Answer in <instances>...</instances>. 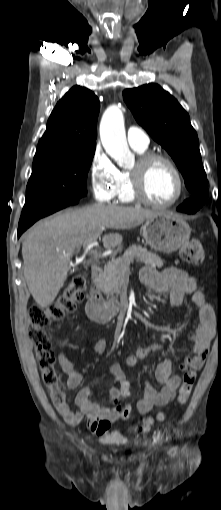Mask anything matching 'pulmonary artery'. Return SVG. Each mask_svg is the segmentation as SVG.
I'll use <instances>...</instances> for the list:
<instances>
[{"label":"pulmonary artery","mask_w":221,"mask_h":510,"mask_svg":"<svg viewBox=\"0 0 221 510\" xmlns=\"http://www.w3.org/2000/svg\"><path fill=\"white\" fill-rule=\"evenodd\" d=\"M127 140L131 147L145 149L149 145V136L141 128L131 126L127 131Z\"/></svg>","instance_id":"e3ab8cb5"}]
</instances>
